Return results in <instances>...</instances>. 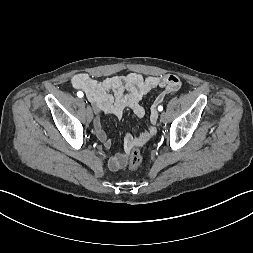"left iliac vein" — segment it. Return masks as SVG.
Segmentation results:
<instances>
[{"label": "left iliac vein", "mask_w": 253, "mask_h": 253, "mask_svg": "<svg viewBox=\"0 0 253 253\" xmlns=\"http://www.w3.org/2000/svg\"><path fill=\"white\" fill-rule=\"evenodd\" d=\"M160 120L162 121V122H165L166 120H167V114L166 113H161V115H160Z\"/></svg>", "instance_id": "left-iliac-vein-1"}]
</instances>
